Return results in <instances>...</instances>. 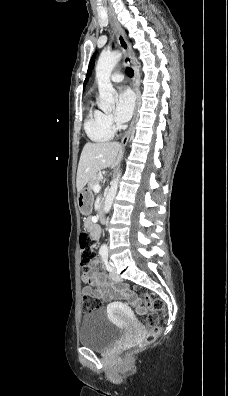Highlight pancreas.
Listing matches in <instances>:
<instances>
[{
	"instance_id": "cf45deb5",
	"label": "pancreas",
	"mask_w": 228,
	"mask_h": 396,
	"mask_svg": "<svg viewBox=\"0 0 228 396\" xmlns=\"http://www.w3.org/2000/svg\"><path fill=\"white\" fill-rule=\"evenodd\" d=\"M101 180H102L101 175L96 174L93 178H91V179L89 180L88 188H89L90 190H93V189H94V186H95L96 184H99Z\"/></svg>"
}]
</instances>
